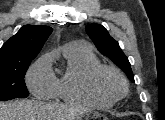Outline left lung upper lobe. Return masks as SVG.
Masks as SVG:
<instances>
[{
    "label": "left lung upper lobe",
    "mask_w": 165,
    "mask_h": 120,
    "mask_svg": "<svg viewBox=\"0 0 165 120\" xmlns=\"http://www.w3.org/2000/svg\"><path fill=\"white\" fill-rule=\"evenodd\" d=\"M85 29L97 49L111 59L134 82V76L128 58L121 50L118 42L109 35L106 28L99 24H89Z\"/></svg>",
    "instance_id": "left-lung-upper-lobe-1"
}]
</instances>
